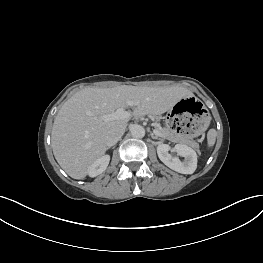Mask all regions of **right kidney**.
Returning a JSON list of instances; mask_svg holds the SVG:
<instances>
[{
	"mask_svg": "<svg viewBox=\"0 0 263 263\" xmlns=\"http://www.w3.org/2000/svg\"><path fill=\"white\" fill-rule=\"evenodd\" d=\"M110 161L109 155H104L98 158L89 168H88V175L90 177H96L103 173Z\"/></svg>",
	"mask_w": 263,
	"mask_h": 263,
	"instance_id": "obj_1",
	"label": "right kidney"
}]
</instances>
